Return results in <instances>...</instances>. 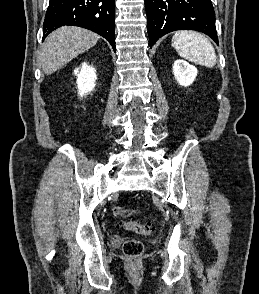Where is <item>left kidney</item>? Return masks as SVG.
<instances>
[{
	"mask_svg": "<svg viewBox=\"0 0 259 294\" xmlns=\"http://www.w3.org/2000/svg\"><path fill=\"white\" fill-rule=\"evenodd\" d=\"M197 69L184 60H176L173 64V74L182 86H189L197 76Z\"/></svg>",
	"mask_w": 259,
	"mask_h": 294,
	"instance_id": "left-kidney-1",
	"label": "left kidney"
}]
</instances>
